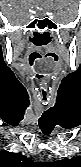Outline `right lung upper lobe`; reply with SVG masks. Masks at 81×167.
Instances as JSON below:
<instances>
[{
	"label": "right lung upper lobe",
	"instance_id": "obj_1",
	"mask_svg": "<svg viewBox=\"0 0 81 167\" xmlns=\"http://www.w3.org/2000/svg\"><path fill=\"white\" fill-rule=\"evenodd\" d=\"M30 158L20 154L12 153L5 150L0 152V167H36Z\"/></svg>",
	"mask_w": 81,
	"mask_h": 167
}]
</instances>
